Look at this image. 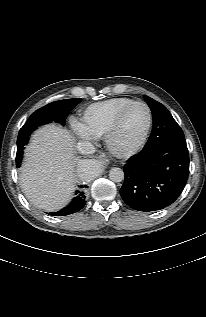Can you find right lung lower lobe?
<instances>
[{
    "label": "right lung lower lobe",
    "instance_id": "obj_1",
    "mask_svg": "<svg viewBox=\"0 0 206 317\" xmlns=\"http://www.w3.org/2000/svg\"><path fill=\"white\" fill-rule=\"evenodd\" d=\"M82 188L84 186H81ZM87 187V186H85ZM77 196L72 200V202L67 206L65 207L64 209L56 212V213H50V215L52 216H65V215H70V214H73V213H76L78 212L79 210H81L85 204H86V201H85V193L83 191H77L76 192Z\"/></svg>",
    "mask_w": 206,
    "mask_h": 317
}]
</instances>
